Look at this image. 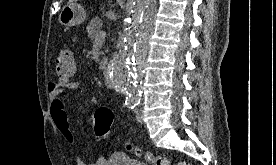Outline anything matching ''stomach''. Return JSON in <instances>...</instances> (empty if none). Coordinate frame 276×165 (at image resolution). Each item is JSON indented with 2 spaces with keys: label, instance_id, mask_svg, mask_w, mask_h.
Wrapping results in <instances>:
<instances>
[{
  "label": "stomach",
  "instance_id": "0dacf381",
  "mask_svg": "<svg viewBox=\"0 0 276 165\" xmlns=\"http://www.w3.org/2000/svg\"><path fill=\"white\" fill-rule=\"evenodd\" d=\"M86 19L84 8L77 3L65 5L60 14L59 22L66 27H73L82 24Z\"/></svg>",
  "mask_w": 276,
  "mask_h": 165
}]
</instances>
